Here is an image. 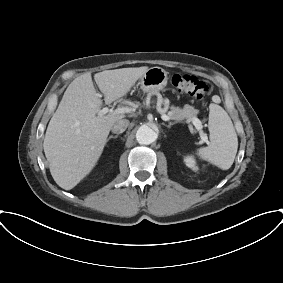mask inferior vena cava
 I'll list each match as a JSON object with an SVG mask.
<instances>
[{"label":"inferior vena cava","mask_w":283,"mask_h":283,"mask_svg":"<svg viewBox=\"0 0 283 283\" xmlns=\"http://www.w3.org/2000/svg\"><path fill=\"white\" fill-rule=\"evenodd\" d=\"M129 126V120L121 119L117 121L111 128L112 132L115 134L123 133L126 128Z\"/></svg>","instance_id":"602c4592"}]
</instances>
